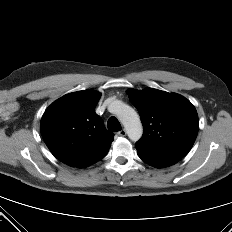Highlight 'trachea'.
<instances>
[{
    "label": "trachea",
    "mask_w": 232,
    "mask_h": 232,
    "mask_svg": "<svg viewBox=\"0 0 232 232\" xmlns=\"http://www.w3.org/2000/svg\"><path fill=\"white\" fill-rule=\"evenodd\" d=\"M107 127L112 132H117V131H120L122 129L121 125L116 117L109 118V120L107 122Z\"/></svg>",
    "instance_id": "1"
}]
</instances>
